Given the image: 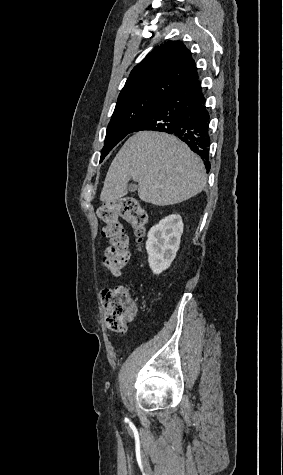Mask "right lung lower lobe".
Returning a JSON list of instances; mask_svg holds the SVG:
<instances>
[{"label": "right lung lower lobe", "mask_w": 283, "mask_h": 475, "mask_svg": "<svg viewBox=\"0 0 283 475\" xmlns=\"http://www.w3.org/2000/svg\"><path fill=\"white\" fill-rule=\"evenodd\" d=\"M205 102L199 79L188 81L175 88L130 133L153 130L173 134L203 159L206 169H210V115Z\"/></svg>", "instance_id": "1"}]
</instances>
